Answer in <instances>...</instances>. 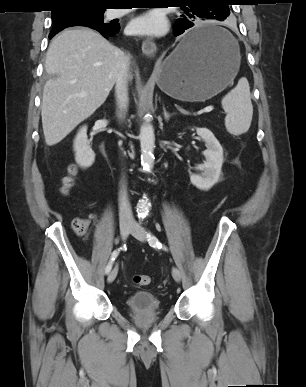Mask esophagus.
Masks as SVG:
<instances>
[{"mask_svg": "<svg viewBox=\"0 0 306 387\" xmlns=\"http://www.w3.org/2000/svg\"><path fill=\"white\" fill-rule=\"evenodd\" d=\"M142 51L148 57H154L157 51V46L152 39H146L142 43Z\"/></svg>", "mask_w": 306, "mask_h": 387, "instance_id": "esophagus-1", "label": "esophagus"}]
</instances>
